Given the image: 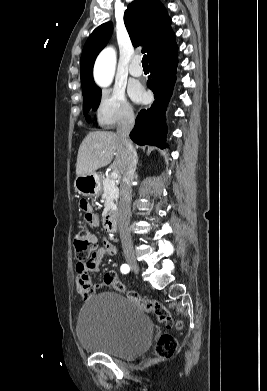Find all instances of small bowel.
<instances>
[{
  "label": "small bowel",
  "instance_id": "small-bowel-1",
  "mask_svg": "<svg viewBox=\"0 0 267 391\" xmlns=\"http://www.w3.org/2000/svg\"><path fill=\"white\" fill-rule=\"evenodd\" d=\"M79 208L85 213V222L91 226L99 225V218L94 213L91 204L86 200L79 202ZM117 253L116 247L105 241L103 247L96 251L92 258L86 263L76 264V286L77 292L85 299L90 298L100 287H110L107 282V274H104L100 283H92L89 275L99 271L101 261L105 256H112Z\"/></svg>",
  "mask_w": 267,
  "mask_h": 391
}]
</instances>
